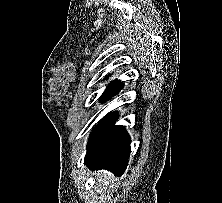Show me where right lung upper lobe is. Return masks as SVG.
Returning <instances> with one entry per match:
<instances>
[{
	"mask_svg": "<svg viewBox=\"0 0 222 203\" xmlns=\"http://www.w3.org/2000/svg\"><path fill=\"white\" fill-rule=\"evenodd\" d=\"M122 86L123 84L121 81H113L108 85L104 93L115 95L122 88Z\"/></svg>",
	"mask_w": 222,
	"mask_h": 203,
	"instance_id": "cb5924a9",
	"label": "right lung upper lobe"
}]
</instances>
